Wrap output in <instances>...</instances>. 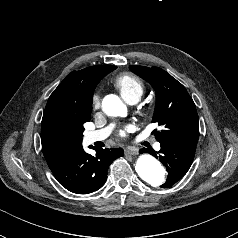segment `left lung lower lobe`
<instances>
[{
	"instance_id": "left-lung-lower-lobe-1",
	"label": "left lung lower lobe",
	"mask_w": 238,
	"mask_h": 238,
	"mask_svg": "<svg viewBox=\"0 0 238 238\" xmlns=\"http://www.w3.org/2000/svg\"><path fill=\"white\" fill-rule=\"evenodd\" d=\"M159 156L148 150L153 156L159 158L168 171L163 188L171 187L179 181L189 170L196 151V145L186 143H160ZM141 150V152H143Z\"/></svg>"
}]
</instances>
